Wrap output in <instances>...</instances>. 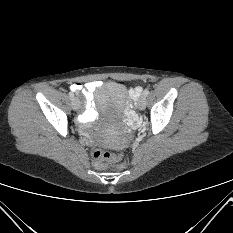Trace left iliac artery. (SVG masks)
Instances as JSON below:
<instances>
[{"instance_id": "obj_1", "label": "left iliac artery", "mask_w": 233, "mask_h": 233, "mask_svg": "<svg viewBox=\"0 0 233 233\" xmlns=\"http://www.w3.org/2000/svg\"><path fill=\"white\" fill-rule=\"evenodd\" d=\"M148 94H149V89H145L143 92V95L146 97V96H148Z\"/></svg>"}]
</instances>
